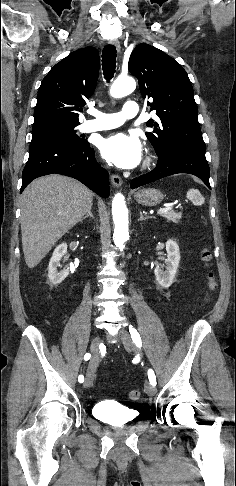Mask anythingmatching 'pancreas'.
Here are the masks:
<instances>
[{
  "mask_svg": "<svg viewBox=\"0 0 236 486\" xmlns=\"http://www.w3.org/2000/svg\"><path fill=\"white\" fill-rule=\"evenodd\" d=\"M162 217L166 218L168 221H171L173 223H179L180 219L182 218V213L181 212L169 211V212L163 213Z\"/></svg>",
  "mask_w": 236,
  "mask_h": 486,
  "instance_id": "obj_1",
  "label": "pancreas"
}]
</instances>
